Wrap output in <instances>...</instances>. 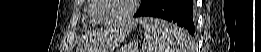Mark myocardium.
I'll use <instances>...</instances> for the list:
<instances>
[{"mask_svg": "<svg viewBox=\"0 0 261 52\" xmlns=\"http://www.w3.org/2000/svg\"><path fill=\"white\" fill-rule=\"evenodd\" d=\"M94 2L97 4V7L93 10V17H94L96 23L104 24V25H112V24L124 22V21L128 20L130 17H132V15L136 11V7H137V4L139 1L138 0H128L127 10L117 19L112 20V21H103L98 18V13L100 10H102L104 8L105 4H104L103 0H94Z\"/></svg>", "mask_w": 261, "mask_h": 52, "instance_id": "1", "label": "myocardium"}]
</instances>
